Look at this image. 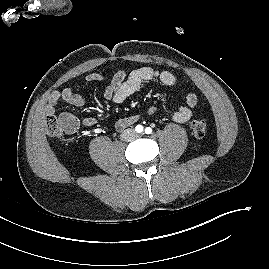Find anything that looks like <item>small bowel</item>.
Masks as SVG:
<instances>
[{"mask_svg": "<svg viewBox=\"0 0 269 269\" xmlns=\"http://www.w3.org/2000/svg\"><path fill=\"white\" fill-rule=\"evenodd\" d=\"M86 82H102L106 84L103 96L106 100L114 103H123L131 95L139 91L143 83L157 80L165 86H174L177 83L175 75L169 71L157 70L151 67H141L132 70L130 73L124 70H118L112 78L107 80L103 75L99 73H89L85 76ZM59 101H64L75 107H81L84 105V98L76 93L71 86L64 88L62 91H54L51 93L48 99L47 106L45 108L48 114L55 112L56 105ZM198 98L196 94H187L185 101L181 104L173 114V120L177 123L187 122L193 113V108L196 106ZM155 107L148 108V114H154ZM76 126H78L77 119ZM140 119L139 114H132L125 118L118 120L115 123L117 131H122L125 128L135 124ZM97 123V120L93 117L85 118L82 124L85 127H92ZM77 129V128H76Z\"/></svg>", "mask_w": 269, "mask_h": 269, "instance_id": "c3829d8e", "label": "small bowel"}]
</instances>
